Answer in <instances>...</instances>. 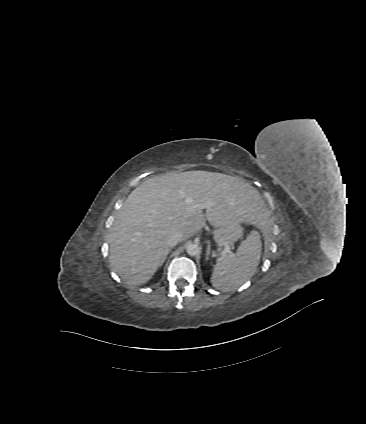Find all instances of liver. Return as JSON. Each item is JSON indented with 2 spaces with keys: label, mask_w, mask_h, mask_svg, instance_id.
Instances as JSON below:
<instances>
[{
  "label": "liver",
  "mask_w": 366,
  "mask_h": 424,
  "mask_svg": "<svg viewBox=\"0 0 366 424\" xmlns=\"http://www.w3.org/2000/svg\"><path fill=\"white\" fill-rule=\"evenodd\" d=\"M209 203L205 213L196 204ZM264 202L249 183L222 173L186 171L155 176L127 197L109 233L110 263L126 283H147L174 232L186 240L206 219L215 228L248 222L263 228Z\"/></svg>",
  "instance_id": "1"
}]
</instances>
